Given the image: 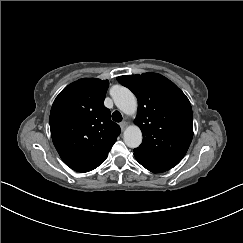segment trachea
Wrapping results in <instances>:
<instances>
[{"label": "trachea", "instance_id": "3493384b", "mask_svg": "<svg viewBox=\"0 0 243 243\" xmlns=\"http://www.w3.org/2000/svg\"><path fill=\"white\" fill-rule=\"evenodd\" d=\"M112 119L115 121V122H121L122 121V119H123V117H122V115H121V113L119 112V111H114L113 113H112Z\"/></svg>", "mask_w": 243, "mask_h": 243}]
</instances>
